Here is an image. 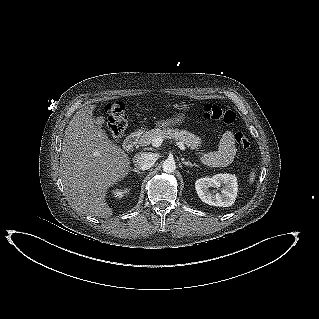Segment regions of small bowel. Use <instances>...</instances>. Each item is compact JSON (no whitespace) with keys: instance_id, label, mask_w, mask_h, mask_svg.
Here are the masks:
<instances>
[{"instance_id":"c3829d8e","label":"small bowel","mask_w":319,"mask_h":319,"mask_svg":"<svg viewBox=\"0 0 319 319\" xmlns=\"http://www.w3.org/2000/svg\"><path fill=\"white\" fill-rule=\"evenodd\" d=\"M236 154L234 135L226 131L220 141L218 148L202 155L203 163L211 167H223L232 162Z\"/></svg>"}]
</instances>
